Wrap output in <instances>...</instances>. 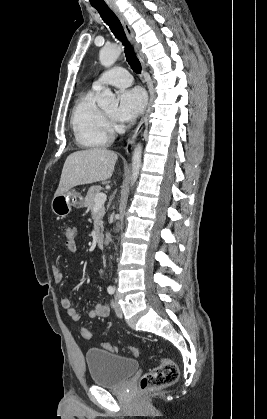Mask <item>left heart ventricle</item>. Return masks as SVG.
Wrapping results in <instances>:
<instances>
[{
    "label": "left heart ventricle",
    "instance_id": "left-heart-ventricle-1",
    "mask_svg": "<svg viewBox=\"0 0 267 419\" xmlns=\"http://www.w3.org/2000/svg\"><path fill=\"white\" fill-rule=\"evenodd\" d=\"M107 113H108L109 115L113 116V115H115L116 110H115V109H111V110H108V111H107Z\"/></svg>",
    "mask_w": 267,
    "mask_h": 419
}]
</instances>
